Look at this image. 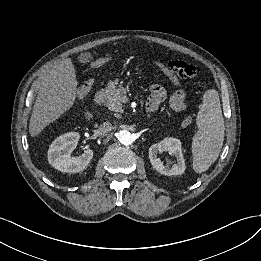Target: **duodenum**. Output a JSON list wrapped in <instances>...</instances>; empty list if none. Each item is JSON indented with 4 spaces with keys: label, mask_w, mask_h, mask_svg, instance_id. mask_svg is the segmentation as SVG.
Segmentation results:
<instances>
[{
    "label": "duodenum",
    "mask_w": 261,
    "mask_h": 261,
    "mask_svg": "<svg viewBox=\"0 0 261 261\" xmlns=\"http://www.w3.org/2000/svg\"><path fill=\"white\" fill-rule=\"evenodd\" d=\"M103 99H104V91L99 90L94 96V102L96 105L100 106L103 102Z\"/></svg>",
    "instance_id": "1"
}]
</instances>
